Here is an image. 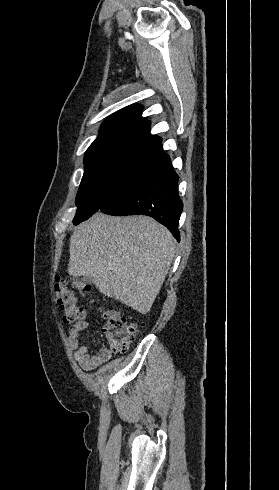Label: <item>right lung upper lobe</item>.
Segmentation results:
<instances>
[{
    "label": "right lung upper lobe",
    "instance_id": "obj_1",
    "mask_svg": "<svg viewBox=\"0 0 279 490\" xmlns=\"http://www.w3.org/2000/svg\"><path fill=\"white\" fill-rule=\"evenodd\" d=\"M143 107L132 105L109 116L96 140L87 149L85 166L107 161L158 164L168 155L158 136L150 134V122L141 116Z\"/></svg>",
    "mask_w": 279,
    "mask_h": 490
}]
</instances>
